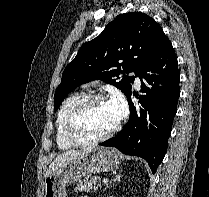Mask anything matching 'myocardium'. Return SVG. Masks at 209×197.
<instances>
[{"mask_svg": "<svg viewBox=\"0 0 209 197\" xmlns=\"http://www.w3.org/2000/svg\"><path fill=\"white\" fill-rule=\"evenodd\" d=\"M102 101H105V97L103 95H87L68 113L65 119L64 135L69 143L74 146L96 144L109 138L118 129V124L116 123L108 131L96 137H83L78 134L77 124L81 114L91 105Z\"/></svg>", "mask_w": 209, "mask_h": 197, "instance_id": "1", "label": "myocardium"}]
</instances>
